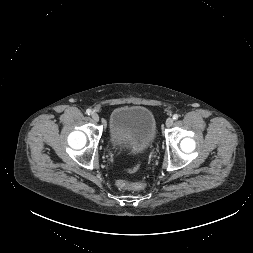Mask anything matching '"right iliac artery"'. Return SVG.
<instances>
[{
    "label": "right iliac artery",
    "instance_id": "right-iliac-artery-1",
    "mask_svg": "<svg viewBox=\"0 0 253 253\" xmlns=\"http://www.w3.org/2000/svg\"><path fill=\"white\" fill-rule=\"evenodd\" d=\"M86 113H87L88 115H90V114L92 113L91 109H87V110H86Z\"/></svg>",
    "mask_w": 253,
    "mask_h": 253
}]
</instances>
